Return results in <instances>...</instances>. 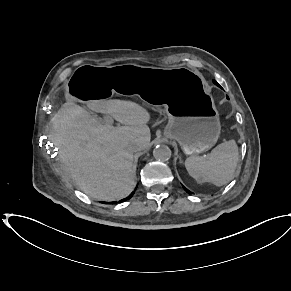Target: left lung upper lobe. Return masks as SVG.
<instances>
[{
  "mask_svg": "<svg viewBox=\"0 0 291 291\" xmlns=\"http://www.w3.org/2000/svg\"><path fill=\"white\" fill-rule=\"evenodd\" d=\"M213 82H214L217 86L219 85L215 80H213Z\"/></svg>",
  "mask_w": 291,
  "mask_h": 291,
  "instance_id": "obj_1",
  "label": "left lung upper lobe"
}]
</instances>
